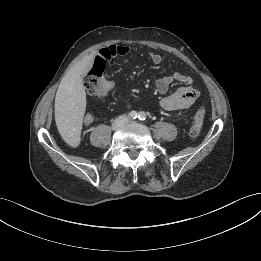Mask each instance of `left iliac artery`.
<instances>
[{
    "mask_svg": "<svg viewBox=\"0 0 261 261\" xmlns=\"http://www.w3.org/2000/svg\"><path fill=\"white\" fill-rule=\"evenodd\" d=\"M138 118H139V120L144 121L146 119L145 113L144 112H140Z\"/></svg>",
    "mask_w": 261,
    "mask_h": 261,
    "instance_id": "44dca946",
    "label": "left iliac artery"
}]
</instances>
